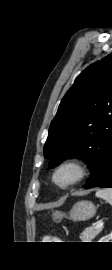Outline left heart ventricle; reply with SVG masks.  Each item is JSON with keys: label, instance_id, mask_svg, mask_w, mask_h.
Instances as JSON below:
<instances>
[{"label": "left heart ventricle", "instance_id": "b2bd125f", "mask_svg": "<svg viewBox=\"0 0 112 270\" xmlns=\"http://www.w3.org/2000/svg\"><path fill=\"white\" fill-rule=\"evenodd\" d=\"M72 175H73V173L71 171H65L60 175L59 179L62 182H64V181L69 180L72 177Z\"/></svg>", "mask_w": 112, "mask_h": 270}]
</instances>
